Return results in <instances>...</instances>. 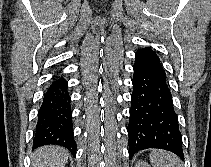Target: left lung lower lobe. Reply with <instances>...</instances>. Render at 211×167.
I'll use <instances>...</instances> for the list:
<instances>
[{
    "mask_svg": "<svg viewBox=\"0 0 211 167\" xmlns=\"http://www.w3.org/2000/svg\"><path fill=\"white\" fill-rule=\"evenodd\" d=\"M133 92L128 124L129 155L158 148L184 157L178 117L174 111L166 73L151 48L135 53Z\"/></svg>",
    "mask_w": 211,
    "mask_h": 167,
    "instance_id": "obj_1",
    "label": "left lung lower lobe"
}]
</instances>
